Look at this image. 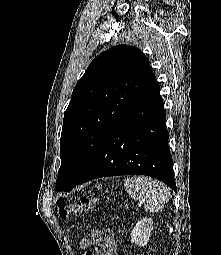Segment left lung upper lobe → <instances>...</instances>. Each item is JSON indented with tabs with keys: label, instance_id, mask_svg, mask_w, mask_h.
I'll use <instances>...</instances> for the list:
<instances>
[{
	"label": "left lung upper lobe",
	"instance_id": "left-lung-upper-lobe-1",
	"mask_svg": "<svg viewBox=\"0 0 221 255\" xmlns=\"http://www.w3.org/2000/svg\"><path fill=\"white\" fill-rule=\"evenodd\" d=\"M156 85L150 63L138 48L118 45L90 63L64 114L58 191L75 187L111 127Z\"/></svg>",
	"mask_w": 221,
	"mask_h": 255
}]
</instances>
